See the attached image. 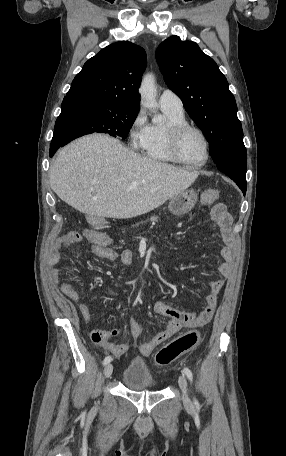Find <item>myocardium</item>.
I'll return each mask as SVG.
<instances>
[{"mask_svg": "<svg viewBox=\"0 0 286 456\" xmlns=\"http://www.w3.org/2000/svg\"><path fill=\"white\" fill-rule=\"evenodd\" d=\"M189 130L197 132L202 137L205 143L206 155L205 158L199 163L187 161L181 156L179 152L180 138L185 132ZM166 144L169 154L176 162H179L190 167L199 168L204 166L205 164H207L211 156V144L205 132L198 126L190 124L188 122L169 124L166 128Z\"/></svg>", "mask_w": 286, "mask_h": 456, "instance_id": "myocardium-1", "label": "myocardium"}]
</instances>
